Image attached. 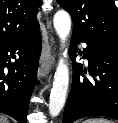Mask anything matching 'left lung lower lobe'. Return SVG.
Masks as SVG:
<instances>
[{
    "instance_id": "left-lung-lower-lobe-1",
    "label": "left lung lower lobe",
    "mask_w": 118,
    "mask_h": 123,
    "mask_svg": "<svg viewBox=\"0 0 118 123\" xmlns=\"http://www.w3.org/2000/svg\"><path fill=\"white\" fill-rule=\"evenodd\" d=\"M80 41L87 44L79 54L88 59V70H83L82 64L75 62ZM69 52L73 61V76L62 123H73L89 116L118 119V49L88 41L73 33ZM83 72H88L94 82L84 77Z\"/></svg>"
}]
</instances>
